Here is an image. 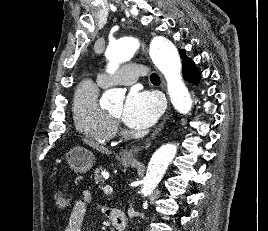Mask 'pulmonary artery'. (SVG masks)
Here are the masks:
<instances>
[{"label":"pulmonary artery","mask_w":268,"mask_h":231,"mask_svg":"<svg viewBox=\"0 0 268 231\" xmlns=\"http://www.w3.org/2000/svg\"><path fill=\"white\" fill-rule=\"evenodd\" d=\"M142 68L143 66L139 62L130 63L118 75H108L106 73L99 74L98 81L103 86H108L114 82L130 85L133 84L138 77L149 76L147 71Z\"/></svg>","instance_id":"pulmonary-artery-1"}]
</instances>
